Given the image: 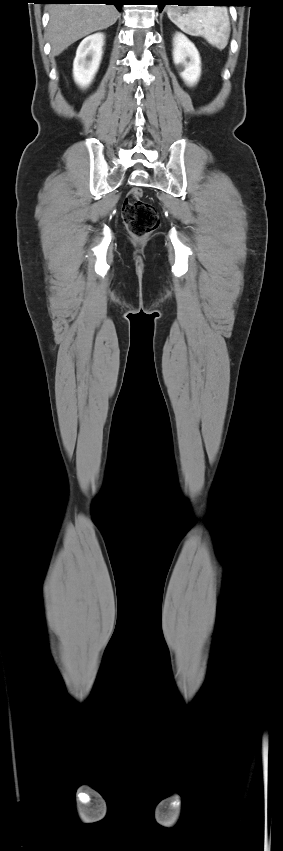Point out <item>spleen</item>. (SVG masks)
<instances>
[{
    "instance_id": "1",
    "label": "spleen",
    "mask_w": 283,
    "mask_h": 851,
    "mask_svg": "<svg viewBox=\"0 0 283 851\" xmlns=\"http://www.w3.org/2000/svg\"><path fill=\"white\" fill-rule=\"evenodd\" d=\"M167 15L183 32L202 36L219 50L228 44L231 27L226 7L199 6L181 14L180 7L168 6Z\"/></svg>"
}]
</instances>
